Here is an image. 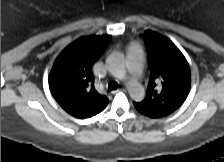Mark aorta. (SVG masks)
Here are the masks:
<instances>
[{
    "instance_id": "762f6f07",
    "label": "aorta",
    "mask_w": 224,
    "mask_h": 162,
    "mask_svg": "<svg viewBox=\"0 0 224 162\" xmlns=\"http://www.w3.org/2000/svg\"><path fill=\"white\" fill-rule=\"evenodd\" d=\"M108 71L118 79H126V67L124 57L120 53L110 55L106 61ZM130 97L140 102L145 97V90L143 86L135 79H131L126 83Z\"/></svg>"
}]
</instances>
